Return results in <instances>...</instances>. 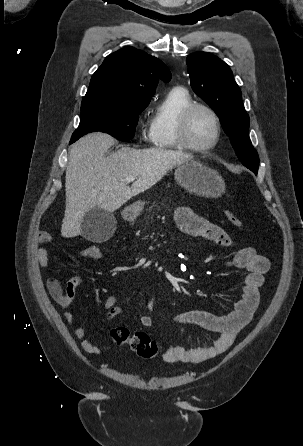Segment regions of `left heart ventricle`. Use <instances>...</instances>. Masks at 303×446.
Masks as SVG:
<instances>
[{
	"instance_id": "b2bd125f",
	"label": "left heart ventricle",
	"mask_w": 303,
	"mask_h": 446,
	"mask_svg": "<svg viewBox=\"0 0 303 446\" xmlns=\"http://www.w3.org/2000/svg\"><path fill=\"white\" fill-rule=\"evenodd\" d=\"M188 136L192 144L207 146L214 140L215 126L211 116L204 110L194 111L189 120Z\"/></svg>"
}]
</instances>
